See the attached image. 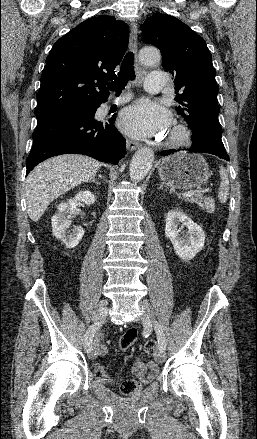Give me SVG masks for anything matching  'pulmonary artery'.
I'll use <instances>...</instances> for the list:
<instances>
[{"mask_svg": "<svg viewBox=\"0 0 257 439\" xmlns=\"http://www.w3.org/2000/svg\"><path fill=\"white\" fill-rule=\"evenodd\" d=\"M166 83V77L163 73L154 72L149 73L144 82V87L149 93H160L162 92ZM127 100V97H120L115 102L122 103Z\"/></svg>", "mask_w": 257, "mask_h": 439, "instance_id": "obj_1", "label": "pulmonary artery"}]
</instances>
